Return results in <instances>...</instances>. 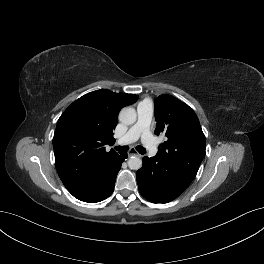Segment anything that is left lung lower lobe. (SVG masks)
Returning a JSON list of instances; mask_svg holds the SVG:
<instances>
[{
  "instance_id": "obj_1",
  "label": "left lung lower lobe",
  "mask_w": 264,
  "mask_h": 264,
  "mask_svg": "<svg viewBox=\"0 0 264 264\" xmlns=\"http://www.w3.org/2000/svg\"><path fill=\"white\" fill-rule=\"evenodd\" d=\"M137 171L141 195L153 203H167L178 197L192 182L198 170L186 169L176 161L167 162L156 154L145 156Z\"/></svg>"
}]
</instances>
